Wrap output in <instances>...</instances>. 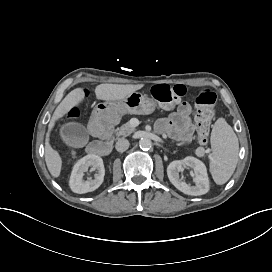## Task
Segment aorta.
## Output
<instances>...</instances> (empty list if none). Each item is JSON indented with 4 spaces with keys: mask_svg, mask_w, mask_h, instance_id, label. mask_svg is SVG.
I'll list each match as a JSON object with an SVG mask.
<instances>
[{
    "mask_svg": "<svg viewBox=\"0 0 272 272\" xmlns=\"http://www.w3.org/2000/svg\"><path fill=\"white\" fill-rule=\"evenodd\" d=\"M139 145L142 149H150L152 146V141L149 138H141Z\"/></svg>",
    "mask_w": 272,
    "mask_h": 272,
    "instance_id": "1",
    "label": "aorta"
}]
</instances>
